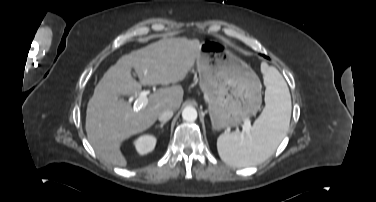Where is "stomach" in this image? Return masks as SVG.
<instances>
[{"instance_id": "stomach-1", "label": "stomach", "mask_w": 376, "mask_h": 202, "mask_svg": "<svg viewBox=\"0 0 376 202\" xmlns=\"http://www.w3.org/2000/svg\"><path fill=\"white\" fill-rule=\"evenodd\" d=\"M196 64L214 129L236 126L259 109V78L223 43L202 42Z\"/></svg>"}]
</instances>
